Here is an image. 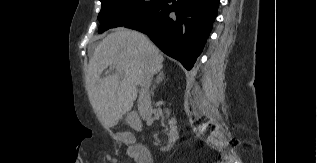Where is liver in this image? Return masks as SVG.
<instances>
[{"instance_id": "1", "label": "liver", "mask_w": 317, "mask_h": 163, "mask_svg": "<svg viewBox=\"0 0 317 163\" xmlns=\"http://www.w3.org/2000/svg\"><path fill=\"white\" fill-rule=\"evenodd\" d=\"M163 61L158 48L137 31L119 28L99 42L89 60L85 84L91 105L105 128L117 125L131 110L142 76L148 71H160ZM116 64L121 67V75L109 73L102 77L106 68Z\"/></svg>"}]
</instances>
